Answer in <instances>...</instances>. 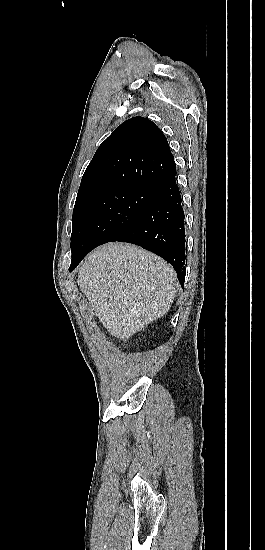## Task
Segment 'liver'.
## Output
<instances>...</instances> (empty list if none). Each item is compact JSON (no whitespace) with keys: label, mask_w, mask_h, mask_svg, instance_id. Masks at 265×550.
Instances as JSON below:
<instances>
[{"label":"liver","mask_w":265,"mask_h":550,"mask_svg":"<svg viewBox=\"0 0 265 550\" xmlns=\"http://www.w3.org/2000/svg\"><path fill=\"white\" fill-rule=\"evenodd\" d=\"M78 285L107 331L128 339L170 309L176 272L136 245L109 243L82 262Z\"/></svg>","instance_id":"6515ba94"}]
</instances>
